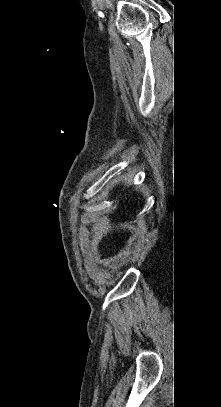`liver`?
I'll return each mask as SVG.
<instances>
[{
	"mask_svg": "<svg viewBox=\"0 0 221 407\" xmlns=\"http://www.w3.org/2000/svg\"><path fill=\"white\" fill-rule=\"evenodd\" d=\"M131 179H132L131 176L125 177V182H126L127 184H130Z\"/></svg>",
	"mask_w": 221,
	"mask_h": 407,
	"instance_id": "6515ba94",
	"label": "liver"
}]
</instances>
